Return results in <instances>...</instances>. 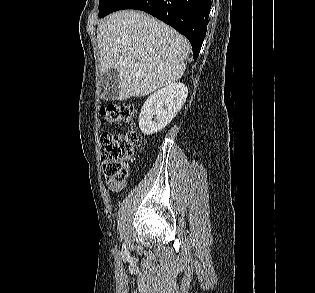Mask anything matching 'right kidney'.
Returning a JSON list of instances; mask_svg holds the SVG:
<instances>
[{
  "mask_svg": "<svg viewBox=\"0 0 315 293\" xmlns=\"http://www.w3.org/2000/svg\"><path fill=\"white\" fill-rule=\"evenodd\" d=\"M188 88L172 83L150 95L139 115V128L145 135L161 131L180 111L186 101Z\"/></svg>",
  "mask_w": 315,
  "mask_h": 293,
  "instance_id": "ca27d5eb",
  "label": "right kidney"
}]
</instances>
